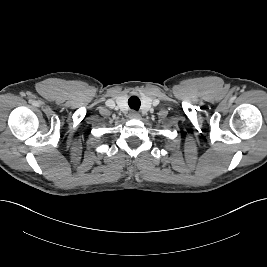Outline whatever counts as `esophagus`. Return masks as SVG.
I'll return each instance as SVG.
<instances>
[{"label":"esophagus","mask_w":267,"mask_h":267,"mask_svg":"<svg viewBox=\"0 0 267 267\" xmlns=\"http://www.w3.org/2000/svg\"><path fill=\"white\" fill-rule=\"evenodd\" d=\"M129 117L132 118V119H139L140 118V114L135 112V111H132V112H130Z\"/></svg>","instance_id":"1"}]
</instances>
